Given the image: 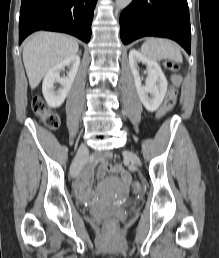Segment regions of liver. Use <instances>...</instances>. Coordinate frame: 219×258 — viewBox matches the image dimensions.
Segmentation results:
<instances>
[{"label":"liver","mask_w":219,"mask_h":258,"mask_svg":"<svg viewBox=\"0 0 219 258\" xmlns=\"http://www.w3.org/2000/svg\"><path fill=\"white\" fill-rule=\"evenodd\" d=\"M78 43L72 37L51 32H37L29 37L23 49V63L31 89L36 88L48 71L76 55Z\"/></svg>","instance_id":"liver-1"}]
</instances>
